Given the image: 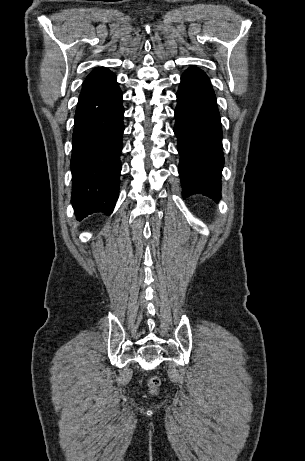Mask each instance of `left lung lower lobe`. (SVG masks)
<instances>
[{"instance_id": "1", "label": "left lung lower lobe", "mask_w": 305, "mask_h": 461, "mask_svg": "<svg viewBox=\"0 0 305 461\" xmlns=\"http://www.w3.org/2000/svg\"><path fill=\"white\" fill-rule=\"evenodd\" d=\"M176 96L174 133L183 196L199 193L217 201L224 157L220 115L209 78L199 68L186 70Z\"/></svg>"}]
</instances>
